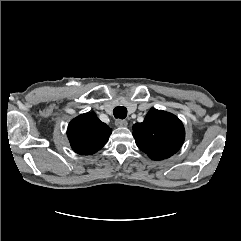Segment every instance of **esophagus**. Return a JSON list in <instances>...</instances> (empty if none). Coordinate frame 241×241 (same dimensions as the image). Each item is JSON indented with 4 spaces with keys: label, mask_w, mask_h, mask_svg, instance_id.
Masks as SVG:
<instances>
[{
    "label": "esophagus",
    "mask_w": 241,
    "mask_h": 241,
    "mask_svg": "<svg viewBox=\"0 0 241 241\" xmlns=\"http://www.w3.org/2000/svg\"><path fill=\"white\" fill-rule=\"evenodd\" d=\"M115 125L117 127H126L128 125V122L126 120H122V119H117L115 121Z\"/></svg>",
    "instance_id": "obj_1"
}]
</instances>
